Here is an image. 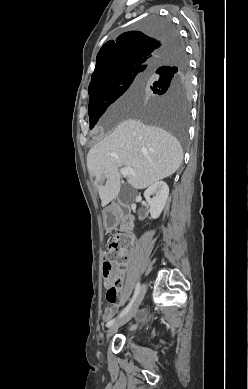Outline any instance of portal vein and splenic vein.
I'll return each mask as SVG.
<instances>
[{"label": "portal vein and splenic vein", "instance_id": "portal-vein-and-splenic-vein-1", "mask_svg": "<svg viewBox=\"0 0 248 389\" xmlns=\"http://www.w3.org/2000/svg\"><path fill=\"white\" fill-rule=\"evenodd\" d=\"M120 173L123 176H136L137 174L131 167H123L120 169Z\"/></svg>", "mask_w": 248, "mask_h": 389}]
</instances>
